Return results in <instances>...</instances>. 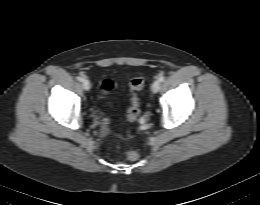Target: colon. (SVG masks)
Wrapping results in <instances>:
<instances>
[{
  "mask_svg": "<svg viewBox=\"0 0 260 205\" xmlns=\"http://www.w3.org/2000/svg\"><path fill=\"white\" fill-rule=\"evenodd\" d=\"M146 82V78L143 76L134 77L129 81V89L131 93L130 97V106L128 108L126 119L129 122L135 121L140 113L139 108V98H138V91L141 90ZM114 88V83L111 79H104L101 82V89L103 92L107 93L110 92ZM126 157L131 160L135 161L138 159L139 155L137 152L133 150H129L126 152Z\"/></svg>",
  "mask_w": 260,
  "mask_h": 205,
  "instance_id": "obj_1",
  "label": "colon"
}]
</instances>
